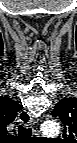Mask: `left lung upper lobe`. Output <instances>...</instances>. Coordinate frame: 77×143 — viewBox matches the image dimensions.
Returning a JSON list of instances; mask_svg holds the SVG:
<instances>
[{"instance_id":"obj_1","label":"left lung upper lobe","mask_w":77,"mask_h":143,"mask_svg":"<svg viewBox=\"0 0 77 143\" xmlns=\"http://www.w3.org/2000/svg\"><path fill=\"white\" fill-rule=\"evenodd\" d=\"M51 115L61 119L64 124L63 136L66 139H73L77 136V99L65 98L60 100Z\"/></svg>"}]
</instances>
